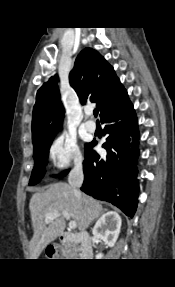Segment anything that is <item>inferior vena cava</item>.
<instances>
[{
    "mask_svg": "<svg viewBox=\"0 0 175 287\" xmlns=\"http://www.w3.org/2000/svg\"><path fill=\"white\" fill-rule=\"evenodd\" d=\"M84 180L83 168L81 163L75 164L73 170L69 173L68 182L76 193H79L78 189L82 186Z\"/></svg>",
    "mask_w": 175,
    "mask_h": 287,
    "instance_id": "1",
    "label": "inferior vena cava"
}]
</instances>
